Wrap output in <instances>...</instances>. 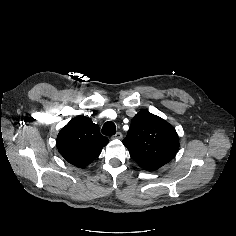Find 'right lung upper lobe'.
Listing matches in <instances>:
<instances>
[{
	"mask_svg": "<svg viewBox=\"0 0 236 236\" xmlns=\"http://www.w3.org/2000/svg\"><path fill=\"white\" fill-rule=\"evenodd\" d=\"M108 141L90 118L77 116L59 132L57 148L69 163L84 168L99 156Z\"/></svg>",
	"mask_w": 236,
	"mask_h": 236,
	"instance_id": "obj_1",
	"label": "right lung upper lobe"
}]
</instances>
